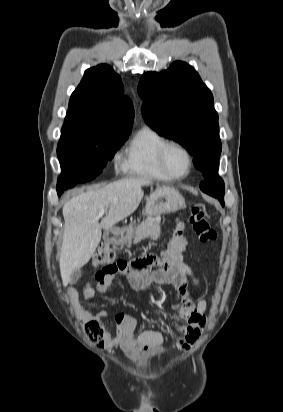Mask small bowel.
<instances>
[{
  "instance_id": "obj_1",
  "label": "small bowel",
  "mask_w": 283,
  "mask_h": 412,
  "mask_svg": "<svg viewBox=\"0 0 283 412\" xmlns=\"http://www.w3.org/2000/svg\"><path fill=\"white\" fill-rule=\"evenodd\" d=\"M156 257V255H150ZM115 276H124L128 285L137 291L147 289L151 284L173 285L182 295L183 301L179 309L180 317L185 324L171 321V325L179 336V344L188 349L201 335L205 324L207 302L203 298L196 299L192 294L193 288H200L198 279L192 268L185 263L178 254L172 258L166 268L154 267V272L135 271L130 268L114 275L97 278L95 282L87 283L78 297L72 294L77 309L85 321L104 323L106 318L111 317L116 325L114 332L105 331L103 339L108 347H120L124 354L135 362H140L150 354L159 351L163 345L162 334L154 329L136 333L138 321L128 313H117L111 316L106 310L93 313L88 308V303L96 294L105 295L110 288Z\"/></svg>"
}]
</instances>
